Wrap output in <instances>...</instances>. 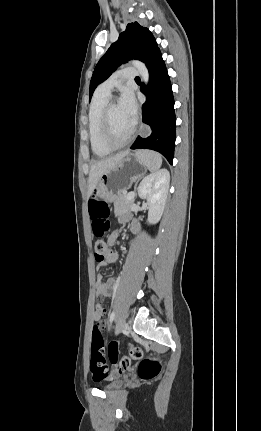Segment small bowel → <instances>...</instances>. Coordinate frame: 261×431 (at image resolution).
I'll return each mask as SVG.
<instances>
[{"label":"small bowel","mask_w":261,"mask_h":431,"mask_svg":"<svg viewBox=\"0 0 261 431\" xmlns=\"http://www.w3.org/2000/svg\"><path fill=\"white\" fill-rule=\"evenodd\" d=\"M126 218L121 217V221H125ZM131 230L133 232H137L139 230V223L134 220L131 222ZM118 239V233L112 232L108 238L107 241L110 245H114L117 242ZM118 257L117 254L111 253L108 255L103 261L97 263V270L102 269L108 264L115 263L117 261ZM114 286H115V280L113 278H107L106 280H103L102 275H97V281H96V300L98 301V304L95 307V310L93 312V319L96 322H99L103 315L106 312V305L103 303L107 300V297H111L114 294ZM99 330H102V327H99Z\"/></svg>","instance_id":"obj_1"}]
</instances>
